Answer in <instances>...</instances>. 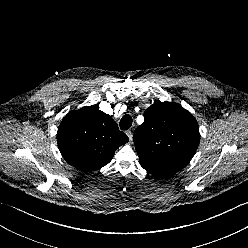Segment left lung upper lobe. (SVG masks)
Listing matches in <instances>:
<instances>
[{
  "label": "left lung upper lobe",
  "instance_id": "1",
  "mask_svg": "<svg viewBox=\"0 0 248 248\" xmlns=\"http://www.w3.org/2000/svg\"><path fill=\"white\" fill-rule=\"evenodd\" d=\"M144 118L133 136L141 166L157 177L183 169L200 141L195 118L179 104L161 101L151 105Z\"/></svg>",
  "mask_w": 248,
  "mask_h": 248
}]
</instances>
